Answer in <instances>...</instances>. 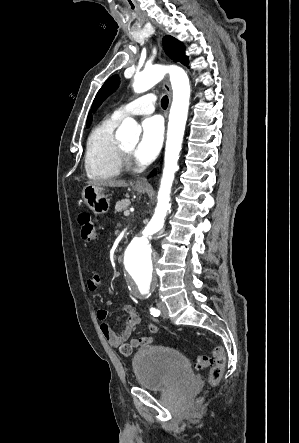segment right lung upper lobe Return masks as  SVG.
<instances>
[{"instance_id":"1","label":"right lung upper lobe","mask_w":299,"mask_h":443,"mask_svg":"<svg viewBox=\"0 0 299 443\" xmlns=\"http://www.w3.org/2000/svg\"><path fill=\"white\" fill-rule=\"evenodd\" d=\"M91 121H92V117H91V115L89 114V115H88V119H87V125H90Z\"/></svg>"}]
</instances>
